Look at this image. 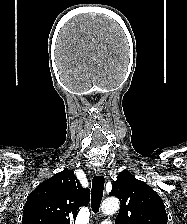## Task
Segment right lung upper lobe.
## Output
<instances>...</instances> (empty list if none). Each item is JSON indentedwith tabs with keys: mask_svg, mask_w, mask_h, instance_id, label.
I'll list each match as a JSON object with an SVG mask.
<instances>
[{
	"mask_svg": "<svg viewBox=\"0 0 187 224\" xmlns=\"http://www.w3.org/2000/svg\"><path fill=\"white\" fill-rule=\"evenodd\" d=\"M90 190L82 188L73 170H64L43 181L28 196L22 224H70Z\"/></svg>",
	"mask_w": 187,
	"mask_h": 224,
	"instance_id": "cb5924a9",
	"label": "right lung upper lobe"
}]
</instances>
